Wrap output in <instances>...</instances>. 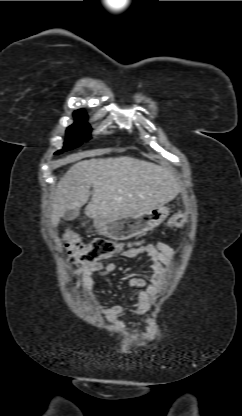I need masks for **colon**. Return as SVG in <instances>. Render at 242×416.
<instances>
[{"label":"colon","instance_id":"5ec220e1","mask_svg":"<svg viewBox=\"0 0 242 416\" xmlns=\"http://www.w3.org/2000/svg\"><path fill=\"white\" fill-rule=\"evenodd\" d=\"M187 222L185 213H176L168 221L169 227H182ZM64 247L68 251L72 263L80 265L95 264L106 260L117 253L127 250L123 242L107 238H96L90 243H84L74 232L67 231L63 235Z\"/></svg>","mask_w":242,"mask_h":416}]
</instances>
